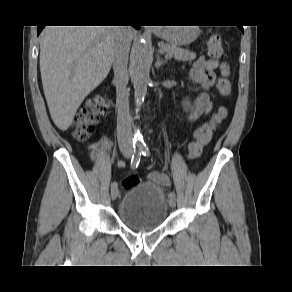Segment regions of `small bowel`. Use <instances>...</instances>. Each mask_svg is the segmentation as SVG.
Here are the masks:
<instances>
[{
	"mask_svg": "<svg viewBox=\"0 0 292 292\" xmlns=\"http://www.w3.org/2000/svg\"><path fill=\"white\" fill-rule=\"evenodd\" d=\"M220 70L223 76L229 75V67L226 63H220L214 59H206L199 57L193 64L188 73V80L199 87L200 92L194 99L189 120H194L202 115L208 114L212 109V101L208 90L214 84L216 71ZM91 158L96 163H107L115 158L114 151L110 142H106L102 149L93 146L91 148ZM118 167H124V163L120 160L116 161ZM149 179L161 186H169V177L159 171H154L149 174Z\"/></svg>",
	"mask_w": 292,
	"mask_h": 292,
	"instance_id": "small-bowel-1",
	"label": "small bowel"
}]
</instances>
